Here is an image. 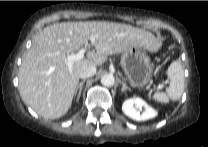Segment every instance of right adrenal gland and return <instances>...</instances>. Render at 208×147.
<instances>
[{"label":"right adrenal gland","mask_w":208,"mask_h":147,"mask_svg":"<svg viewBox=\"0 0 208 147\" xmlns=\"http://www.w3.org/2000/svg\"><path fill=\"white\" fill-rule=\"evenodd\" d=\"M86 82V79H83L76 87L75 89V95H77L78 93V96H77V101H79V98L81 96V92H82V88H83V85L84 83Z\"/></svg>","instance_id":"1"}]
</instances>
